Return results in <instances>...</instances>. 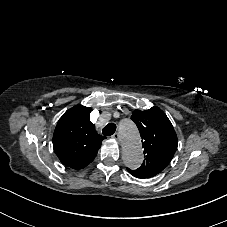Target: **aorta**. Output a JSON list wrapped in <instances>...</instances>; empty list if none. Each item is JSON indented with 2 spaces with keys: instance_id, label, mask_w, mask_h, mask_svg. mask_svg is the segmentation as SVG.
Wrapping results in <instances>:
<instances>
[{
  "instance_id": "1",
  "label": "aorta",
  "mask_w": 227,
  "mask_h": 227,
  "mask_svg": "<svg viewBox=\"0 0 227 227\" xmlns=\"http://www.w3.org/2000/svg\"><path fill=\"white\" fill-rule=\"evenodd\" d=\"M119 133L124 164L130 169L138 168L144 160V154L137 127L131 120H125L120 123Z\"/></svg>"
}]
</instances>
